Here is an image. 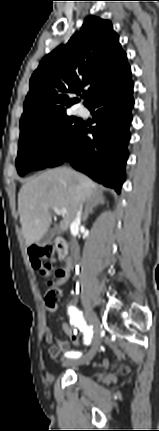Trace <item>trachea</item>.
Listing matches in <instances>:
<instances>
[{
    "label": "trachea",
    "instance_id": "trachea-1",
    "mask_svg": "<svg viewBox=\"0 0 159 431\" xmlns=\"http://www.w3.org/2000/svg\"><path fill=\"white\" fill-rule=\"evenodd\" d=\"M87 96H88L87 94H85V95H84V97H85V98H86Z\"/></svg>",
    "mask_w": 159,
    "mask_h": 431
}]
</instances>
